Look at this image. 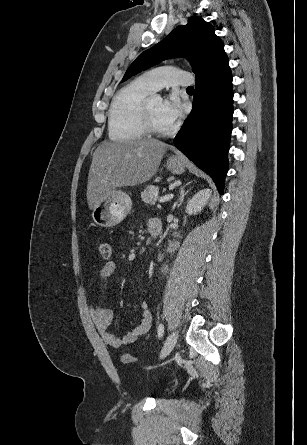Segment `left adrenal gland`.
Returning <instances> with one entry per match:
<instances>
[{
  "label": "left adrenal gland",
  "mask_w": 307,
  "mask_h": 445,
  "mask_svg": "<svg viewBox=\"0 0 307 445\" xmlns=\"http://www.w3.org/2000/svg\"><path fill=\"white\" fill-rule=\"evenodd\" d=\"M185 186H182V188H180V196L178 198V204L177 206H181L183 200H184V196L185 194H187V192H189V190H184Z\"/></svg>",
  "instance_id": "obj_1"
}]
</instances>
